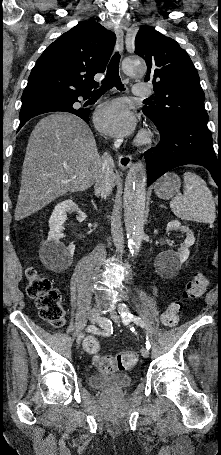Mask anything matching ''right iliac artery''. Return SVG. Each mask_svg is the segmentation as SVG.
<instances>
[{"instance_id":"right-iliac-artery-1","label":"right iliac artery","mask_w":221,"mask_h":455,"mask_svg":"<svg viewBox=\"0 0 221 455\" xmlns=\"http://www.w3.org/2000/svg\"><path fill=\"white\" fill-rule=\"evenodd\" d=\"M88 332H90V334H97L98 337H103V334L105 337H111V330H112V327L111 325L109 324H106V323H103L101 325V329H96L95 326L93 325H90L87 327L86 329Z\"/></svg>"}]
</instances>
